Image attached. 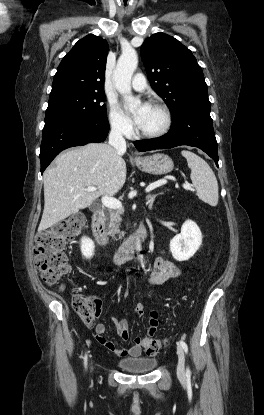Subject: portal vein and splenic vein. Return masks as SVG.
I'll list each match as a JSON object with an SVG mask.
<instances>
[{
    "mask_svg": "<svg viewBox=\"0 0 264 415\" xmlns=\"http://www.w3.org/2000/svg\"><path fill=\"white\" fill-rule=\"evenodd\" d=\"M166 183H167V180H160L158 182H155V183L150 184L149 186H147L145 191L149 192V191H151V190H153V189H155V188H157L161 185H164ZM183 188L187 189V190H190L191 189V184L184 183ZM86 191L94 192V191H96V188L95 187H87ZM102 204L105 207L110 208V209H114V210H119V209L122 208V203L119 200H117L115 198L108 197V196H103L102 197Z\"/></svg>",
    "mask_w": 264,
    "mask_h": 415,
    "instance_id": "portal-vein-and-splenic-vein-1",
    "label": "portal vein and splenic vein"
}]
</instances>
